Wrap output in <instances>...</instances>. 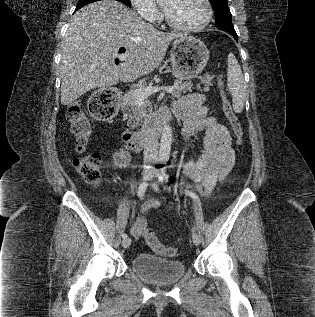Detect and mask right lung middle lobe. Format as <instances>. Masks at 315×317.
Listing matches in <instances>:
<instances>
[{
	"label": "right lung middle lobe",
	"mask_w": 315,
	"mask_h": 317,
	"mask_svg": "<svg viewBox=\"0 0 315 317\" xmlns=\"http://www.w3.org/2000/svg\"><path fill=\"white\" fill-rule=\"evenodd\" d=\"M96 1H99V0H79L76 9H80L83 6L90 4L92 2H96ZM116 1L122 2L126 4L127 6H130V0H116Z\"/></svg>",
	"instance_id": "right-lung-middle-lobe-1"
}]
</instances>
